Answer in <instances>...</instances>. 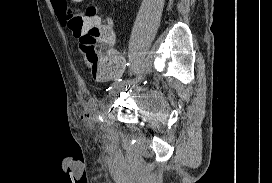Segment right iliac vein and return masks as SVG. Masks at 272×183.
Returning a JSON list of instances; mask_svg holds the SVG:
<instances>
[{"label":"right iliac vein","mask_w":272,"mask_h":183,"mask_svg":"<svg viewBox=\"0 0 272 183\" xmlns=\"http://www.w3.org/2000/svg\"><path fill=\"white\" fill-rule=\"evenodd\" d=\"M141 79V77H139L136 80H127L125 83H122L121 85H119L118 87L114 88L111 92H110V96H115L116 94H118L119 92L125 91L128 89V85L130 87V85H132V88L135 87V84Z\"/></svg>","instance_id":"1"}]
</instances>
